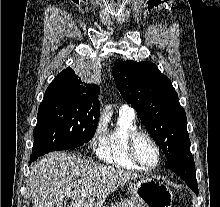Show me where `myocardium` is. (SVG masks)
<instances>
[{"label": "myocardium", "instance_id": "obj_1", "mask_svg": "<svg viewBox=\"0 0 220 207\" xmlns=\"http://www.w3.org/2000/svg\"><path fill=\"white\" fill-rule=\"evenodd\" d=\"M140 137H145L147 138L152 145L154 146L156 153H157V160L153 165L147 166L145 165L139 158L138 153H137V141ZM127 147H128V153L130 158L132 159V161L134 163H136L139 167L142 168V170H153L155 169L161 162V158H162V152H161V148L159 143L157 142V140L154 138V136L145 131V130H140L137 129L135 131H133L129 137H128V141H127Z\"/></svg>", "mask_w": 220, "mask_h": 207}]
</instances>
